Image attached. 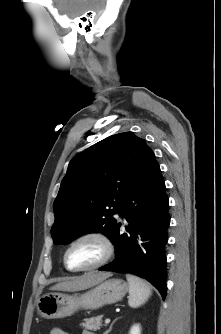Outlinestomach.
Returning <instances> with one entry per match:
<instances>
[{"label": "stomach", "mask_w": 221, "mask_h": 334, "mask_svg": "<svg viewBox=\"0 0 221 334\" xmlns=\"http://www.w3.org/2000/svg\"><path fill=\"white\" fill-rule=\"evenodd\" d=\"M128 291L125 281L106 278L83 294L47 293L38 300V314L45 319L64 318L79 309L95 310L120 301Z\"/></svg>", "instance_id": "obj_1"}]
</instances>
